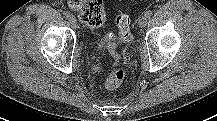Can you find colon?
Returning a JSON list of instances; mask_svg holds the SVG:
<instances>
[{"mask_svg": "<svg viewBox=\"0 0 217 121\" xmlns=\"http://www.w3.org/2000/svg\"><path fill=\"white\" fill-rule=\"evenodd\" d=\"M68 4L78 14L79 18L90 27H101L106 21V6L103 0H68ZM116 25L118 28V40L130 42L132 34L129 16L125 13L118 15L116 17ZM108 48L114 58V63L105 82V87L108 90H114L122 83L126 73L120 65V56L112 41L109 42Z\"/></svg>", "mask_w": 217, "mask_h": 121, "instance_id": "1", "label": "colon"}]
</instances>
